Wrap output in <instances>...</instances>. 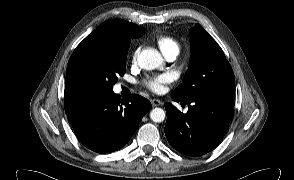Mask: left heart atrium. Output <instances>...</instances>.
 Instances as JSON below:
<instances>
[{"mask_svg":"<svg viewBox=\"0 0 294 180\" xmlns=\"http://www.w3.org/2000/svg\"><path fill=\"white\" fill-rule=\"evenodd\" d=\"M170 81L169 76L160 75L153 78H148L144 81V85L154 93H160L164 90V85Z\"/></svg>","mask_w":294,"mask_h":180,"instance_id":"39dd6f15","label":"left heart atrium"}]
</instances>
